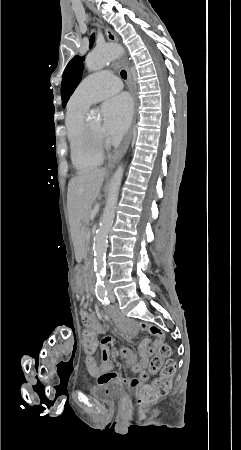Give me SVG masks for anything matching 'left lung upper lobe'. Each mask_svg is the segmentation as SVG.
Returning <instances> with one entry per match:
<instances>
[{"label":"left lung upper lobe","mask_w":241,"mask_h":450,"mask_svg":"<svg viewBox=\"0 0 241 450\" xmlns=\"http://www.w3.org/2000/svg\"><path fill=\"white\" fill-rule=\"evenodd\" d=\"M90 47H92L94 42V34L91 36ZM84 57L75 56L66 66V69L63 73L62 78V88H61V97H62V106L65 107L69 97L74 92L75 88L78 86L79 82L82 78V71L84 69L83 66Z\"/></svg>","instance_id":"5c2ea615"}]
</instances>
